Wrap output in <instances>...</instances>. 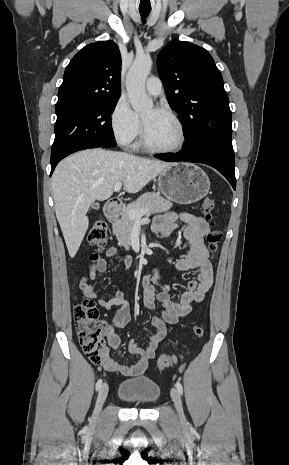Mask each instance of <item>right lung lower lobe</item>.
Returning <instances> with one entry per match:
<instances>
[{
    "mask_svg": "<svg viewBox=\"0 0 289 465\" xmlns=\"http://www.w3.org/2000/svg\"><path fill=\"white\" fill-rule=\"evenodd\" d=\"M97 147H106L104 145H102L101 143H98V142H91V143H86V144H83L81 145L78 149H76L74 152L76 151H79V150H84V149H88V148H97ZM73 152V153H74ZM63 159V158H62ZM57 160V161H54V162H51V174L50 176L52 175L56 165L62 160Z\"/></svg>",
    "mask_w": 289,
    "mask_h": 465,
    "instance_id": "obj_1",
    "label": "right lung lower lobe"
}]
</instances>
